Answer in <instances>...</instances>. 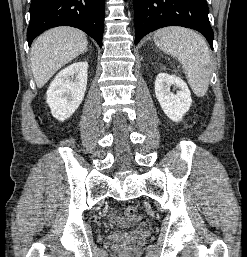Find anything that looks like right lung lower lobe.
Returning <instances> with one entry per match:
<instances>
[{"label": "right lung lower lobe", "instance_id": "1", "mask_svg": "<svg viewBox=\"0 0 247 257\" xmlns=\"http://www.w3.org/2000/svg\"><path fill=\"white\" fill-rule=\"evenodd\" d=\"M105 0H32L27 29L29 46L43 31L72 26L91 36L102 47Z\"/></svg>", "mask_w": 247, "mask_h": 257}]
</instances>
